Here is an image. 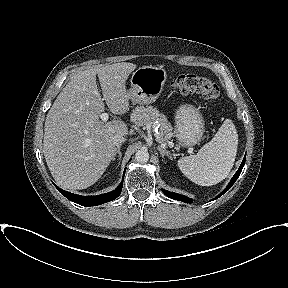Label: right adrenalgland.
<instances>
[{"instance_id": "obj_1", "label": "right adrenal gland", "mask_w": 288, "mask_h": 288, "mask_svg": "<svg viewBox=\"0 0 288 288\" xmlns=\"http://www.w3.org/2000/svg\"><path fill=\"white\" fill-rule=\"evenodd\" d=\"M121 144L117 147V150H116V153H115V156L118 154V161H120V159H121V156H122V154H121ZM115 159V157L113 158V160Z\"/></svg>"}]
</instances>
